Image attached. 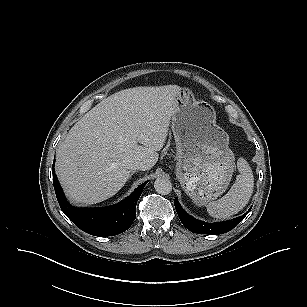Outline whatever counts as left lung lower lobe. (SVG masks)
Listing matches in <instances>:
<instances>
[{"label": "left lung lower lobe", "mask_w": 307, "mask_h": 307, "mask_svg": "<svg viewBox=\"0 0 307 307\" xmlns=\"http://www.w3.org/2000/svg\"><path fill=\"white\" fill-rule=\"evenodd\" d=\"M174 205L180 221L188 230H190L193 233L211 234V235L223 234L232 230L239 222H241L244 219V217L251 210L250 208L245 214H243L238 218H234L232 220L222 221L217 223H206L197 220L192 216H190L189 214H187L179 204L177 198H175Z\"/></svg>", "instance_id": "0a47b994"}]
</instances>
